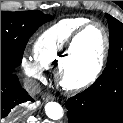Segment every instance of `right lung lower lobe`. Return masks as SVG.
Masks as SVG:
<instances>
[{
    "label": "right lung lower lobe",
    "instance_id": "98d812e1",
    "mask_svg": "<svg viewBox=\"0 0 123 123\" xmlns=\"http://www.w3.org/2000/svg\"><path fill=\"white\" fill-rule=\"evenodd\" d=\"M26 101H34L22 88L18 77L12 72L1 71V119L15 106Z\"/></svg>",
    "mask_w": 123,
    "mask_h": 123
}]
</instances>
